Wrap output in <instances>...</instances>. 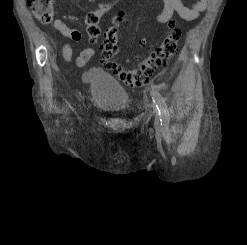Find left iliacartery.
Wrapping results in <instances>:
<instances>
[{
	"label": "left iliac artery",
	"instance_id": "obj_1",
	"mask_svg": "<svg viewBox=\"0 0 247 245\" xmlns=\"http://www.w3.org/2000/svg\"><path fill=\"white\" fill-rule=\"evenodd\" d=\"M152 99L154 104L156 105V108L159 112L161 124H163L165 127L168 126L169 120H170V114L169 110L167 108L166 102L162 95L157 91H152Z\"/></svg>",
	"mask_w": 247,
	"mask_h": 245
}]
</instances>
